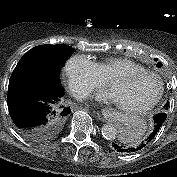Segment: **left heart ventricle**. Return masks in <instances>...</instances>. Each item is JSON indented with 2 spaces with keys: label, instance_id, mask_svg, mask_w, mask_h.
I'll return each instance as SVG.
<instances>
[{
  "label": "left heart ventricle",
  "instance_id": "b2bd125f",
  "mask_svg": "<svg viewBox=\"0 0 177 177\" xmlns=\"http://www.w3.org/2000/svg\"><path fill=\"white\" fill-rule=\"evenodd\" d=\"M111 91L117 103L138 106L152 99L158 91V82L150 76H139L116 82Z\"/></svg>",
  "mask_w": 177,
  "mask_h": 177
}]
</instances>
